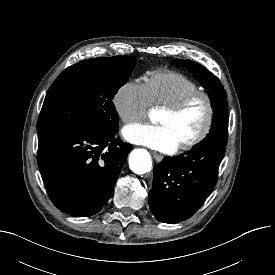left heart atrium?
Listing matches in <instances>:
<instances>
[{
	"label": "left heart atrium",
	"mask_w": 275,
	"mask_h": 275,
	"mask_svg": "<svg viewBox=\"0 0 275 275\" xmlns=\"http://www.w3.org/2000/svg\"><path fill=\"white\" fill-rule=\"evenodd\" d=\"M126 140L150 148L172 152L178 147V141L171 130L163 124L137 123L123 129Z\"/></svg>",
	"instance_id": "1"
}]
</instances>
